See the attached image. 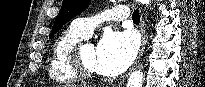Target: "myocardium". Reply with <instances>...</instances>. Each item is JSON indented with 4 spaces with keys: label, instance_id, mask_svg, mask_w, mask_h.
<instances>
[{
    "label": "myocardium",
    "instance_id": "obj_1",
    "mask_svg": "<svg viewBox=\"0 0 205 87\" xmlns=\"http://www.w3.org/2000/svg\"><path fill=\"white\" fill-rule=\"evenodd\" d=\"M85 45V42H79L72 48L69 53V63L78 78L91 79L96 76V72L86 68L82 62L81 51Z\"/></svg>",
    "mask_w": 205,
    "mask_h": 87
}]
</instances>
